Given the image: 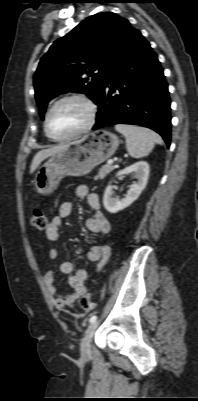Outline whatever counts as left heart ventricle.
Here are the masks:
<instances>
[{"mask_svg":"<svg viewBox=\"0 0 198 401\" xmlns=\"http://www.w3.org/2000/svg\"><path fill=\"white\" fill-rule=\"evenodd\" d=\"M87 107L76 100L60 103L51 113L49 130L54 137H65L81 129L87 122Z\"/></svg>","mask_w":198,"mask_h":401,"instance_id":"1","label":"left heart ventricle"}]
</instances>
